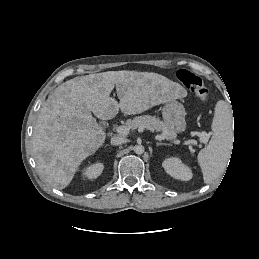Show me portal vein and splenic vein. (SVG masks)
Here are the masks:
<instances>
[{
    "instance_id": "1",
    "label": "portal vein and splenic vein",
    "mask_w": 259,
    "mask_h": 259,
    "mask_svg": "<svg viewBox=\"0 0 259 259\" xmlns=\"http://www.w3.org/2000/svg\"><path fill=\"white\" fill-rule=\"evenodd\" d=\"M116 131L120 135H127L130 131V127L129 126H119V127H117ZM199 136L201 137L202 143L207 144V142L209 140V134H207L206 132H201V133H199ZM156 139H162V136H156ZM174 143L179 144L180 140H175ZM184 143L196 145L197 141L191 139V140L185 141Z\"/></svg>"
}]
</instances>
